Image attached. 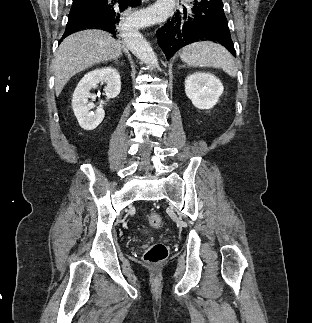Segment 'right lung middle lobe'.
Masks as SVG:
<instances>
[{"label": "right lung middle lobe", "instance_id": "dd1d6c3e", "mask_svg": "<svg viewBox=\"0 0 312 323\" xmlns=\"http://www.w3.org/2000/svg\"><path fill=\"white\" fill-rule=\"evenodd\" d=\"M79 0H73V5L74 4H77V2H78Z\"/></svg>", "mask_w": 312, "mask_h": 323}]
</instances>
